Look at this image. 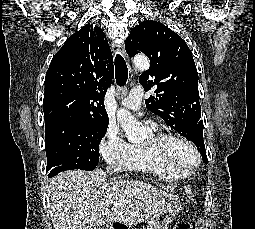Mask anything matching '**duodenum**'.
I'll use <instances>...</instances> for the list:
<instances>
[{"instance_id":"410a0bca","label":"duodenum","mask_w":255,"mask_h":229,"mask_svg":"<svg viewBox=\"0 0 255 229\" xmlns=\"http://www.w3.org/2000/svg\"><path fill=\"white\" fill-rule=\"evenodd\" d=\"M108 229H128L127 226L120 222H114L108 226Z\"/></svg>"}]
</instances>
